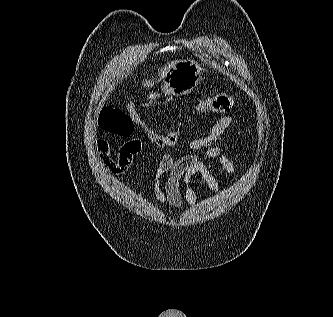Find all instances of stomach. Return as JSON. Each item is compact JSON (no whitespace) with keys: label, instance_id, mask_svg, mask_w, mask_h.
<instances>
[{"label":"stomach","instance_id":"0dacf381","mask_svg":"<svg viewBox=\"0 0 333 317\" xmlns=\"http://www.w3.org/2000/svg\"><path fill=\"white\" fill-rule=\"evenodd\" d=\"M200 75L201 67L198 63L192 60L179 61L165 76L162 90L168 95H187L199 83ZM158 97L159 94L155 92H150L148 96L150 101H155Z\"/></svg>","mask_w":333,"mask_h":317}]
</instances>
